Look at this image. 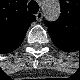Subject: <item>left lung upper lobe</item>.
Instances as JSON below:
<instances>
[{"label": "left lung upper lobe", "instance_id": "left-lung-upper-lobe-1", "mask_svg": "<svg viewBox=\"0 0 80 80\" xmlns=\"http://www.w3.org/2000/svg\"><path fill=\"white\" fill-rule=\"evenodd\" d=\"M60 4L62 13L59 19L53 23L46 22V26L48 27V32L53 41L56 39L58 43L61 42L68 46L74 37L79 39L80 22L78 17L72 15L67 2L61 0Z\"/></svg>", "mask_w": 80, "mask_h": 80}]
</instances>
